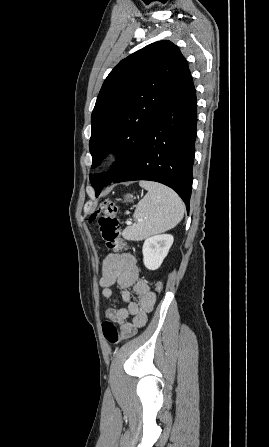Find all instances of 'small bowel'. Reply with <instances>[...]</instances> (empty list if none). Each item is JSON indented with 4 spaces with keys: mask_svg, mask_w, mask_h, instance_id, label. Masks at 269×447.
<instances>
[{
    "mask_svg": "<svg viewBox=\"0 0 269 447\" xmlns=\"http://www.w3.org/2000/svg\"><path fill=\"white\" fill-rule=\"evenodd\" d=\"M99 284L102 287V296L111 299L114 303L117 299L114 297L111 286L116 284L122 291V299L127 304L126 307L106 310L108 319L122 328L130 324L143 326L147 322V315L155 305L156 295L149 284L141 279L140 270L132 254H108L102 263V277ZM130 287H133V291L140 297L139 302L132 299ZM129 317H132V323L127 322Z\"/></svg>",
    "mask_w": 269,
    "mask_h": 447,
    "instance_id": "obj_1",
    "label": "small bowel"
}]
</instances>
